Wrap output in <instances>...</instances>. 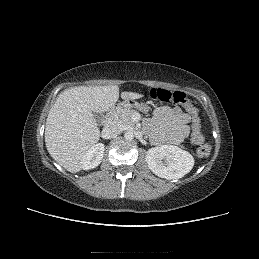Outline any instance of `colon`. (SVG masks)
I'll return each instance as SVG.
<instances>
[{
	"instance_id": "5ec220e1",
	"label": "colon",
	"mask_w": 259,
	"mask_h": 259,
	"mask_svg": "<svg viewBox=\"0 0 259 259\" xmlns=\"http://www.w3.org/2000/svg\"><path fill=\"white\" fill-rule=\"evenodd\" d=\"M149 94L153 100L160 102H172L176 105L184 107L185 110L190 113L188 115L192 125V137L190 138V143L195 144L199 148L197 150V155L199 158H206L211 152V145L209 143H204L200 124L202 121L201 115L187 98L186 94L181 91L172 93L164 89H152Z\"/></svg>"
}]
</instances>
